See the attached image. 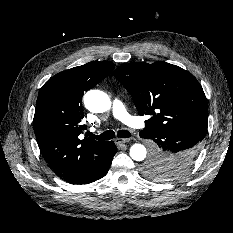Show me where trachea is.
I'll list each match as a JSON object with an SVG mask.
<instances>
[{"mask_svg":"<svg viewBox=\"0 0 233 233\" xmlns=\"http://www.w3.org/2000/svg\"><path fill=\"white\" fill-rule=\"evenodd\" d=\"M89 136L93 137L96 140H100V141L110 140L115 137V132L113 130H107L100 135L89 133ZM117 136L120 138H129L131 136V133L128 130H119L117 133Z\"/></svg>","mask_w":233,"mask_h":233,"instance_id":"3493384b","label":"trachea"}]
</instances>
